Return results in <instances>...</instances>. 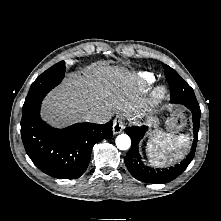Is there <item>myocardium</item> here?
<instances>
[{"instance_id":"obj_1","label":"myocardium","mask_w":221,"mask_h":221,"mask_svg":"<svg viewBox=\"0 0 221 221\" xmlns=\"http://www.w3.org/2000/svg\"><path fill=\"white\" fill-rule=\"evenodd\" d=\"M166 96V89L164 87H159L156 89L153 95V104L159 103L161 100H163Z\"/></svg>"}]
</instances>
